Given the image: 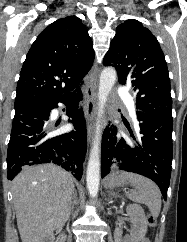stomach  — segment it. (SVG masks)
I'll return each mask as SVG.
<instances>
[{"label": "stomach", "mask_w": 187, "mask_h": 242, "mask_svg": "<svg viewBox=\"0 0 187 242\" xmlns=\"http://www.w3.org/2000/svg\"><path fill=\"white\" fill-rule=\"evenodd\" d=\"M127 184V180L121 176V174L114 173L110 175L105 182V186L107 188H115V187H121Z\"/></svg>", "instance_id": "stomach-1"}]
</instances>
